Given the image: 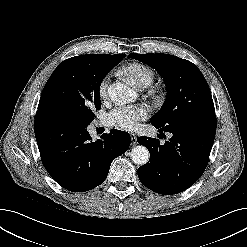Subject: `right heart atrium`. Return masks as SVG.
Returning a JSON list of instances; mask_svg holds the SVG:
<instances>
[{
  "label": "right heart atrium",
  "mask_w": 247,
  "mask_h": 247,
  "mask_svg": "<svg viewBox=\"0 0 247 247\" xmlns=\"http://www.w3.org/2000/svg\"><path fill=\"white\" fill-rule=\"evenodd\" d=\"M107 89H108V78L105 77L100 81L99 87H98V92H99V96L101 99L106 98Z\"/></svg>",
  "instance_id": "obj_1"
}]
</instances>
